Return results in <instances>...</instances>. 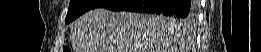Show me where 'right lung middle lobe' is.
<instances>
[{"mask_svg":"<svg viewBox=\"0 0 261 52\" xmlns=\"http://www.w3.org/2000/svg\"><path fill=\"white\" fill-rule=\"evenodd\" d=\"M108 1L109 0H71L66 16V23L75 20L77 17H79L84 12H87L88 10L102 7L108 3ZM193 18L194 16L190 19H180L178 17L165 15L161 17L162 20L174 25H186L188 22L192 21Z\"/></svg>","mask_w":261,"mask_h":52,"instance_id":"dd1d6c3e","label":"right lung middle lobe"}]
</instances>
